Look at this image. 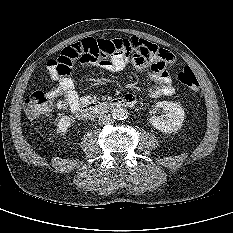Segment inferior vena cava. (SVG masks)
<instances>
[{
	"label": "inferior vena cava",
	"mask_w": 233,
	"mask_h": 233,
	"mask_svg": "<svg viewBox=\"0 0 233 233\" xmlns=\"http://www.w3.org/2000/svg\"><path fill=\"white\" fill-rule=\"evenodd\" d=\"M99 124L109 125L114 122L113 118L110 115H101L98 119Z\"/></svg>",
	"instance_id": "1"
}]
</instances>
